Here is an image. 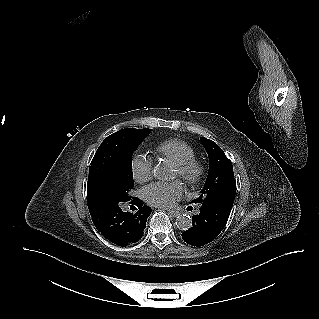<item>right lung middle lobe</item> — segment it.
Instances as JSON below:
<instances>
[{
  "instance_id": "right-lung-middle-lobe-1",
  "label": "right lung middle lobe",
  "mask_w": 319,
  "mask_h": 319,
  "mask_svg": "<svg viewBox=\"0 0 319 319\" xmlns=\"http://www.w3.org/2000/svg\"><path fill=\"white\" fill-rule=\"evenodd\" d=\"M150 132L148 128H126L105 138L89 167L87 193L106 190L129 196L134 186L132 154Z\"/></svg>"
}]
</instances>
